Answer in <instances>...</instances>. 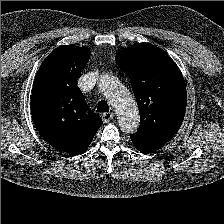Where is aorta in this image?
<instances>
[{"mask_svg":"<svg viewBox=\"0 0 224 224\" xmlns=\"http://www.w3.org/2000/svg\"><path fill=\"white\" fill-rule=\"evenodd\" d=\"M99 87L114 107L118 123L123 132L133 133L139 127V111L134 97L113 75L105 74L99 80Z\"/></svg>","mask_w":224,"mask_h":224,"instance_id":"obj_1","label":"aorta"}]
</instances>
